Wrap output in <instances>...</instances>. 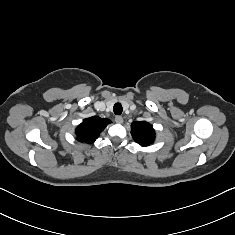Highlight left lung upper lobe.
<instances>
[{
	"instance_id": "1",
	"label": "left lung upper lobe",
	"mask_w": 235,
	"mask_h": 235,
	"mask_svg": "<svg viewBox=\"0 0 235 235\" xmlns=\"http://www.w3.org/2000/svg\"><path fill=\"white\" fill-rule=\"evenodd\" d=\"M131 134L135 142L141 146H148L154 142L155 132L152 125L145 121L133 122Z\"/></svg>"
}]
</instances>
